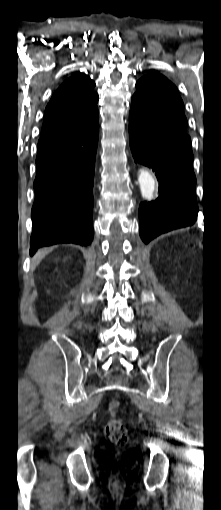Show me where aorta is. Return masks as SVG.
Listing matches in <instances>:
<instances>
[{"label":"aorta","mask_w":221,"mask_h":510,"mask_svg":"<svg viewBox=\"0 0 221 510\" xmlns=\"http://www.w3.org/2000/svg\"><path fill=\"white\" fill-rule=\"evenodd\" d=\"M141 194L146 199H151L155 191V180L150 172L142 170L138 177Z\"/></svg>","instance_id":"1"}]
</instances>
